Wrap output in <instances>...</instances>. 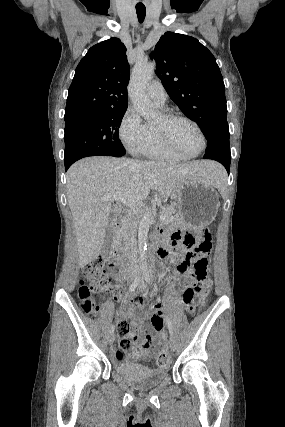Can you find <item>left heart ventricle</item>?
I'll return each mask as SVG.
<instances>
[{
	"instance_id": "1",
	"label": "left heart ventricle",
	"mask_w": 285,
	"mask_h": 427,
	"mask_svg": "<svg viewBox=\"0 0 285 427\" xmlns=\"http://www.w3.org/2000/svg\"><path fill=\"white\" fill-rule=\"evenodd\" d=\"M154 126L165 129L171 136L173 142L184 152L193 154L201 148V138L196 128L185 121L176 120L166 122L160 115Z\"/></svg>"
}]
</instances>
